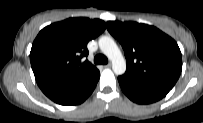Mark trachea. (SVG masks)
<instances>
[{
  "instance_id": "obj_1",
  "label": "trachea",
  "mask_w": 203,
  "mask_h": 123,
  "mask_svg": "<svg viewBox=\"0 0 203 123\" xmlns=\"http://www.w3.org/2000/svg\"><path fill=\"white\" fill-rule=\"evenodd\" d=\"M94 63L95 64H107L108 63V59H107L106 56H104L102 54H98L94 58Z\"/></svg>"
}]
</instances>
